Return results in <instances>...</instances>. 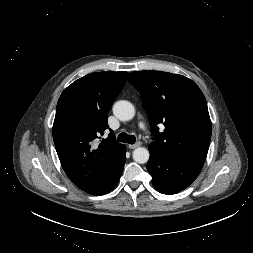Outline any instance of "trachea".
<instances>
[{"mask_svg": "<svg viewBox=\"0 0 253 253\" xmlns=\"http://www.w3.org/2000/svg\"><path fill=\"white\" fill-rule=\"evenodd\" d=\"M117 140L119 142L134 144L136 142V137L134 135H128L125 132H122L118 135Z\"/></svg>", "mask_w": 253, "mask_h": 253, "instance_id": "obj_1", "label": "trachea"}]
</instances>
